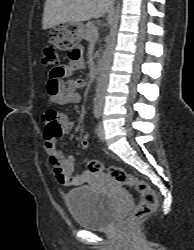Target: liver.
I'll use <instances>...</instances> for the list:
<instances>
[{
  "label": "liver",
  "mask_w": 194,
  "mask_h": 250,
  "mask_svg": "<svg viewBox=\"0 0 194 250\" xmlns=\"http://www.w3.org/2000/svg\"><path fill=\"white\" fill-rule=\"evenodd\" d=\"M111 0H46L42 19L44 30L68 22H82L100 18Z\"/></svg>",
  "instance_id": "1"
}]
</instances>
